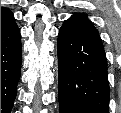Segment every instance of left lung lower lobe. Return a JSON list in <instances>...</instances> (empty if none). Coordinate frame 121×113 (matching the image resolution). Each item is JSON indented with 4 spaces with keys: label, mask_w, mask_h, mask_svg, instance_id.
<instances>
[{
    "label": "left lung lower lobe",
    "mask_w": 121,
    "mask_h": 113,
    "mask_svg": "<svg viewBox=\"0 0 121 113\" xmlns=\"http://www.w3.org/2000/svg\"><path fill=\"white\" fill-rule=\"evenodd\" d=\"M60 113H109L107 60L98 31L77 17L58 36Z\"/></svg>",
    "instance_id": "0a47b994"
}]
</instances>
